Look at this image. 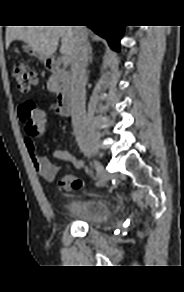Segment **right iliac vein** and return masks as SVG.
Listing matches in <instances>:
<instances>
[{"label":"right iliac vein","instance_id":"obj_1","mask_svg":"<svg viewBox=\"0 0 184 292\" xmlns=\"http://www.w3.org/2000/svg\"><path fill=\"white\" fill-rule=\"evenodd\" d=\"M93 161H94V165H95L96 171H97L99 179H100V182H97V185L103 186L109 180L110 175L104 169L103 165L99 161H97L95 159Z\"/></svg>","mask_w":184,"mask_h":292}]
</instances>
